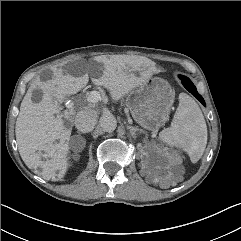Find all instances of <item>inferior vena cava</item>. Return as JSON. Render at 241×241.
Wrapping results in <instances>:
<instances>
[{"label":"inferior vena cava","instance_id":"obj_1","mask_svg":"<svg viewBox=\"0 0 241 241\" xmlns=\"http://www.w3.org/2000/svg\"><path fill=\"white\" fill-rule=\"evenodd\" d=\"M97 113L95 110L87 109L77 113L75 117L76 128L83 132H91L96 125Z\"/></svg>","mask_w":241,"mask_h":241}]
</instances>
